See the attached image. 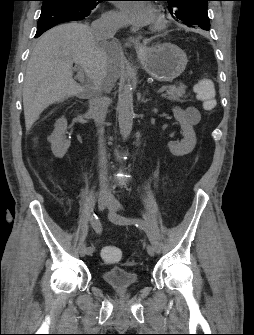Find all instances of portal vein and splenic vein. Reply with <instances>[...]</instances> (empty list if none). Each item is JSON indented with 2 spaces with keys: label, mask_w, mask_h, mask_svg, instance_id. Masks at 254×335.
<instances>
[{
  "label": "portal vein and splenic vein",
  "mask_w": 254,
  "mask_h": 335,
  "mask_svg": "<svg viewBox=\"0 0 254 335\" xmlns=\"http://www.w3.org/2000/svg\"><path fill=\"white\" fill-rule=\"evenodd\" d=\"M75 69L78 71L77 73V79L80 83L85 82L84 73L82 72L81 67L78 64H75ZM166 90V86H162L158 89L157 93H163Z\"/></svg>",
  "instance_id": "18ae733b"
}]
</instances>
